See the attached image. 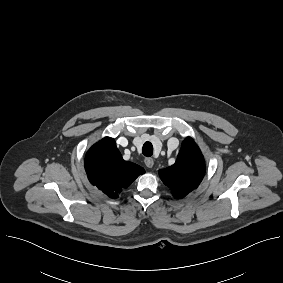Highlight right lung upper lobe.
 I'll return each instance as SVG.
<instances>
[{
    "mask_svg": "<svg viewBox=\"0 0 283 283\" xmlns=\"http://www.w3.org/2000/svg\"><path fill=\"white\" fill-rule=\"evenodd\" d=\"M85 170L91 184L110 198H117L139 175L144 168L123 160L114 139L105 137L93 145L85 157Z\"/></svg>",
    "mask_w": 283,
    "mask_h": 283,
    "instance_id": "cb5924a9",
    "label": "right lung upper lobe"
}]
</instances>
